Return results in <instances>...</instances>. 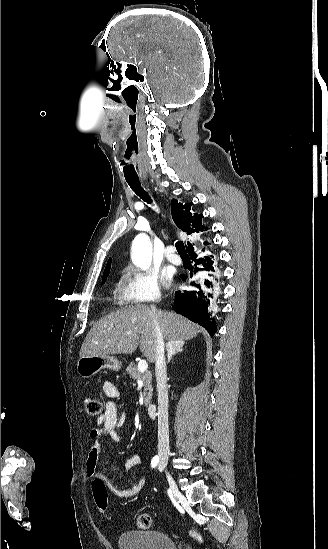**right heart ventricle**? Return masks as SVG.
Listing matches in <instances>:
<instances>
[{
  "label": "right heart ventricle",
  "mask_w": 328,
  "mask_h": 549,
  "mask_svg": "<svg viewBox=\"0 0 328 549\" xmlns=\"http://www.w3.org/2000/svg\"><path fill=\"white\" fill-rule=\"evenodd\" d=\"M112 303H135L128 295L122 280L115 283L112 293Z\"/></svg>",
  "instance_id": "obj_1"
}]
</instances>
